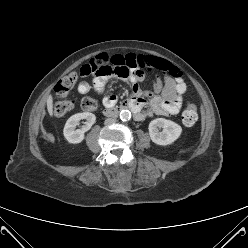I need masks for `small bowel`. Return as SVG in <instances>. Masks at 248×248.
I'll return each instance as SVG.
<instances>
[{"instance_id": "1", "label": "small bowel", "mask_w": 248, "mask_h": 248, "mask_svg": "<svg viewBox=\"0 0 248 248\" xmlns=\"http://www.w3.org/2000/svg\"><path fill=\"white\" fill-rule=\"evenodd\" d=\"M125 68L131 69L128 73L127 80L131 87V96L129 100L133 101L136 107L135 117L137 120H143L152 115H175L182 106L183 95L186 92V83L181 73L169 62L147 54L128 53L117 54ZM129 65V67H126ZM85 68H81V74L85 76ZM166 74L160 80L154 82L152 92H143L139 84L145 80L146 74ZM110 73H98L91 82L83 80L79 83L77 89L80 94H87L94 90L102 96L103 104L106 107H113L117 103L115 95L105 94V85ZM144 97H149L147 102ZM147 107V111L142 109Z\"/></svg>"}]
</instances>
